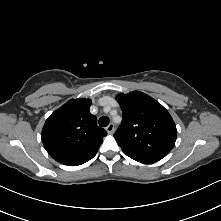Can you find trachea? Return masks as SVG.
Segmentation results:
<instances>
[{
    "mask_svg": "<svg viewBox=\"0 0 221 221\" xmlns=\"http://www.w3.org/2000/svg\"><path fill=\"white\" fill-rule=\"evenodd\" d=\"M108 124H109V119H108V117L103 116V117H101V118L99 119V125H100L101 127H106V126H108Z\"/></svg>",
    "mask_w": 221,
    "mask_h": 221,
    "instance_id": "3493384b",
    "label": "trachea"
}]
</instances>
